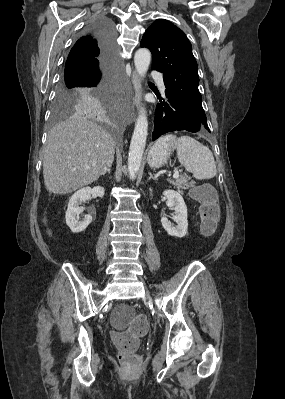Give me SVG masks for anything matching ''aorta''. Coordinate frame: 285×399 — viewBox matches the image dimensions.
Returning a JSON list of instances; mask_svg holds the SVG:
<instances>
[{
    "mask_svg": "<svg viewBox=\"0 0 285 399\" xmlns=\"http://www.w3.org/2000/svg\"><path fill=\"white\" fill-rule=\"evenodd\" d=\"M151 61V53L146 48H140L134 56L135 68L138 75L144 78ZM148 135V120L144 108L140 110V114L136 120L134 132L131 138L129 155H128V172L129 178L134 180L141 167L142 156L145 149L146 139Z\"/></svg>",
    "mask_w": 285,
    "mask_h": 399,
    "instance_id": "1",
    "label": "aorta"
}]
</instances>
